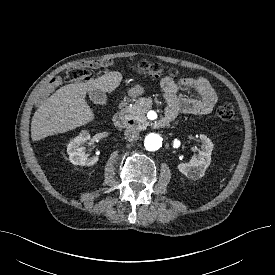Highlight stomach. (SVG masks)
<instances>
[{"label": "stomach", "mask_w": 275, "mask_h": 275, "mask_svg": "<svg viewBox=\"0 0 275 275\" xmlns=\"http://www.w3.org/2000/svg\"><path fill=\"white\" fill-rule=\"evenodd\" d=\"M143 93H144V89L139 85L128 90V95L132 98L138 97L139 95H142Z\"/></svg>", "instance_id": "1"}]
</instances>
